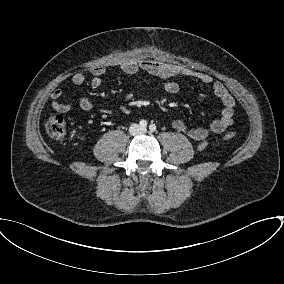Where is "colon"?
<instances>
[{
	"label": "colon",
	"instance_id": "colon-1",
	"mask_svg": "<svg viewBox=\"0 0 284 284\" xmlns=\"http://www.w3.org/2000/svg\"><path fill=\"white\" fill-rule=\"evenodd\" d=\"M45 129L52 138L62 139L66 130V121L64 116L59 113L51 114L45 121ZM223 138L226 141H231L235 138V133L227 132Z\"/></svg>",
	"mask_w": 284,
	"mask_h": 284
}]
</instances>
